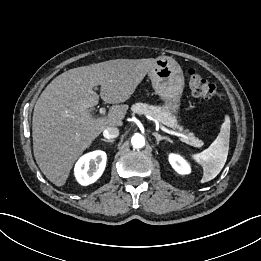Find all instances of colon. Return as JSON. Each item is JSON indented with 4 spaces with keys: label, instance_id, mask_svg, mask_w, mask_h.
Masks as SVG:
<instances>
[{
    "label": "colon",
    "instance_id": "1",
    "mask_svg": "<svg viewBox=\"0 0 261 261\" xmlns=\"http://www.w3.org/2000/svg\"><path fill=\"white\" fill-rule=\"evenodd\" d=\"M189 87L195 97L205 100L222 98L216 87L204 79L194 68L189 69Z\"/></svg>",
    "mask_w": 261,
    "mask_h": 261
}]
</instances>
